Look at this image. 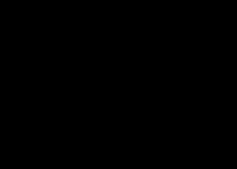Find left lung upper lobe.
<instances>
[{
    "label": "left lung upper lobe",
    "mask_w": 237,
    "mask_h": 169,
    "mask_svg": "<svg viewBox=\"0 0 237 169\" xmlns=\"http://www.w3.org/2000/svg\"><path fill=\"white\" fill-rule=\"evenodd\" d=\"M128 40L144 55L152 83V104L189 117L194 105L195 70L188 55L158 33L133 32Z\"/></svg>",
    "instance_id": "5c2ea615"
}]
</instances>
